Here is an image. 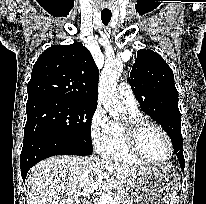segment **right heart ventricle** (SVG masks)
Returning <instances> with one entry per match:
<instances>
[{
	"label": "right heart ventricle",
	"instance_id": "obj_1",
	"mask_svg": "<svg viewBox=\"0 0 206 204\" xmlns=\"http://www.w3.org/2000/svg\"><path fill=\"white\" fill-rule=\"evenodd\" d=\"M126 108L129 112V117L142 116L137 108ZM100 153L104 158L117 162L145 164L144 161L139 159L130 150L123 132L122 124L118 122H112L110 139Z\"/></svg>",
	"mask_w": 206,
	"mask_h": 204
}]
</instances>
